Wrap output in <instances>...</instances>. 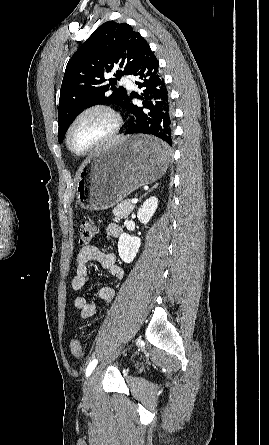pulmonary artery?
<instances>
[{
    "mask_svg": "<svg viewBox=\"0 0 269 445\" xmlns=\"http://www.w3.org/2000/svg\"><path fill=\"white\" fill-rule=\"evenodd\" d=\"M120 83L125 85L128 88L133 87V82L128 77H122Z\"/></svg>",
    "mask_w": 269,
    "mask_h": 445,
    "instance_id": "1",
    "label": "pulmonary artery"
}]
</instances>
